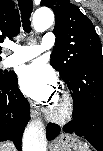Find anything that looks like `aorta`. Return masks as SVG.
<instances>
[{
	"label": "aorta",
	"instance_id": "1",
	"mask_svg": "<svg viewBox=\"0 0 103 151\" xmlns=\"http://www.w3.org/2000/svg\"><path fill=\"white\" fill-rule=\"evenodd\" d=\"M54 22V14L49 8H39L33 15V27L36 32H44ZM23 151H46L44 136L36 127H29L23 135Z\"/></svg>",
	"mask_w": 103,
	"mask_h": 151
}]
</instances>
